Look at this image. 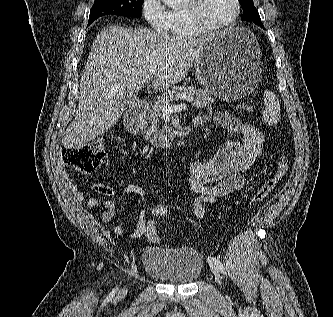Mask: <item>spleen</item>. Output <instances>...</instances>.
I'll list each match as a JSON object with an SVG mask.
<instances>
[{
  "label": "spleen",
  "instance_id": "spleen-1",
  "mask_svg": "<svg viewBox=\"0 0 333 317\" xmlns=\"http://www.w3.org/2000/svg\"><path fill=\"white\" fill-rule=\"evenodd\" d=\"M263 120L269 125L277 124L280 119V104L277 96L272 91H265L264 93Z\"/></svg>",
  "mask_w": 333,
  "mask_h": 317
}]
</instances>
